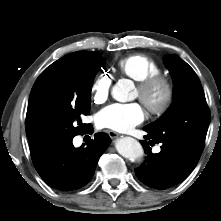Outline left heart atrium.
<instances>
[{"label": "left heart atrium", "mask_w": 221, "mask_h": 221, "mask_svg": "<svg viewBox=\"0 0 221 221\" xmlns=\"http://www.w3.org/2000/svg\"><path fill=\"white\" fill-rule=\"evenodd\" d=\"M145 112L141 104H111L96 116L97 125L118 132H128L143 122Z\"/></svg>", "instance_id": "left-heart-atrium-1"}]
</instances>
